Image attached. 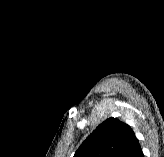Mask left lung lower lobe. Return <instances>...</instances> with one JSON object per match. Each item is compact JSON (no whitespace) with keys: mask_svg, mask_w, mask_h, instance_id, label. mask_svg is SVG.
<instances>
[{"mask_svg":"<svg viewBox=\"0 0 164 157\" xmlns=\"http://www.w3.org/2000/svg\"><path fill=\"white\" fill-rule=\"evenodd\" d=\"M126 157H144L143 152L141 150V146H140L137 138L131 144V146L126 154Z\"/></svg>","mask_w":164,"mask_h":157,"instance_id":"left-lung-lower-lobe-1","label":"left lung lower lobe"}]
</instances>
